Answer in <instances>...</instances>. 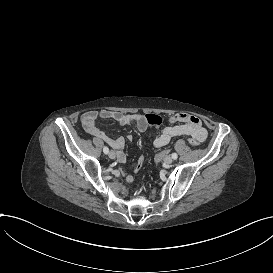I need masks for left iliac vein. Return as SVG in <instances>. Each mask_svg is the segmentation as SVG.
I'll use <instances>...</instances> for the list:
<instances>
[{
	"instance_id": "left-iliac-vein-1",
	"label": "left iliac vein",
	"mask_w": 273,
	"mask_h": 273,
	"mask_svg": "<svg viewBox=\"0 0 273 273\" xmlns=\"http://www.w3.org/2000/svg\"><path fill=\"white\" fill-rule=\"evenodd\" d=\"M173 162V159L171 156H166L164 158V163L167 164V165H170L171 163Z\"/></svg>"
}]
</instances>
